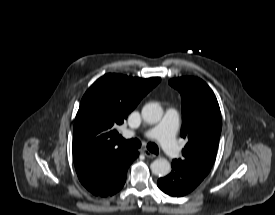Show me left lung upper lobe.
<instances>
[{
	"mask_svg": "<svg viewBox=\"0 0 275 215\" xmlns=\"http://www.w3.org/2000/svg\"><path fill=\"white\" fill-rule=\"evenodd\" d=\"M169 84L181 93V136L188 140L183 158L173 162L205 178L214 164L221 134L217 99L211 88L196 77L171 79Z\"/></svg>",
	"mask_w": 275,
	"mask_h": 215,
	"instance_id": "left-lung-upper-lobe-1",
	"label": "left lung upper lobe"
}]
</instances>
